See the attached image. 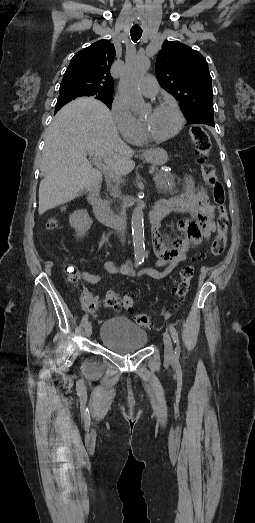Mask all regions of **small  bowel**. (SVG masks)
I'll use <instances>...</instances> for the list:
<instances>
[{"label":"small bowel","instance_id":"obj_1","mask_svg":"<svg viewBox=\"0 0 255 523\" xmlns=\"http://www.w3.org/2000/svg\"><path fill=\"white\" fill-rule=\"evenodd\" d=\"M169 200L171 211L189 213L191 218L178 222L176 226L177 233L171 241H165L158 231L154 230L152 238L156 260L153 264L164 269L160 271L149 267L135 271L130 261L121 265L107 261L104 267L108 273L136 278L143 276H149L154 279L164 278L176 269L181 262L187 260L190 250L198 246L203 239H208L215 231V207L210 203L204 189L195 186L191 178L186 179L183 194ZM81 277L90 284H95L101 279L100 275L87 272L82 273ZM95 300H97V297H95Z\"/></svg>","mask_w":255,"mask_h":523}]
</instances>
